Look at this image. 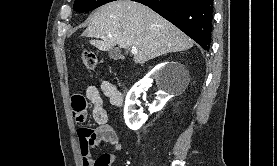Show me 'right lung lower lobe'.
Masks as SVG:
<instances>
[{
    "instance_id": "right-lung-lower-lobe-1",
    "label": "right lung lower lobe",
    "mask_w": 277,
    "mask_h": 166,
    "mask_svg": "<svg viewBox=\"0 0 277 166\" xmlns=\"http://www.w3.org/2000/svg\"><path fill=\"white\" fill-rule=\"evenodd\" d=\"M140 2L173 23L209 51L213 0H132Z\"/></svg>"
}]
</instances>
